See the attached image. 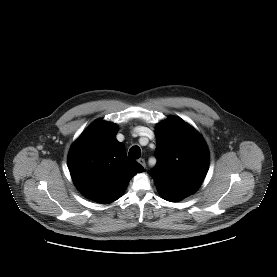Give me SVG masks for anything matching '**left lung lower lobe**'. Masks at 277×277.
Instances as JSON below:
<instances>
[{
	"label": "left lung lower lobe",
	"mask_w": 277,
	"mask_h": 277,
	"mask_svg": "<svg viewBox=\"0 0 277 277\" xmlns=\"http://www.w3.org/2000/svg\"><path fill=\"white\" fill-rule=\"evenodd\" d=\"M162 197L170 202H176L181 200L180 198L177 197H172V196H166V195H162Z\"/></svg>",
	"instance_id": "0a47b994"
}]
</instances>
